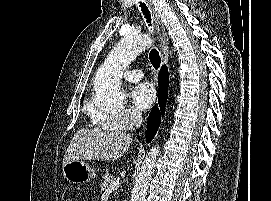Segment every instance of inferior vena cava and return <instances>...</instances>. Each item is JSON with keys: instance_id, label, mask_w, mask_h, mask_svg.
<instances>
[{"instance_id": "602c4592", "label": "inferior vena cava", "mask_w": 271, "mask_h": 201, "mask_svg": "<svg viewBox=\"0 0 271 201\" xmlns=\"http://www.w3.org/2000/svg\"><path fill=\"white\" fill-rule=\"evenodd\" d=\"M131 118L133 119L135 126L139 127L142 123V117L141 114L138 112H133L131 115Z\"/></svg>"}]
</instances>
